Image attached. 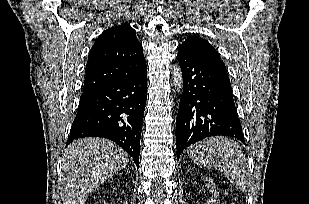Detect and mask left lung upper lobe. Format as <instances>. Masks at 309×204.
<instances>
[{
    "label": "left lung upper lobe",
    "instance_id": "obj_1",
    "mask_svg": "<svg viewBox=\"0 0 309 204\" xmlns=\"http://www.w3.org/2000/svg\"><path fill=\"white\" fill-rule=\"evenodd\" d=\"M190 51L193 55L214 64L218 67L226 69L222 62L218 52L215 48L206 40L196 35H190L187 39L179 46Z\"/></svg>",
    "mask_w": 309,
    "mask_h": 204
}]
</instances>
